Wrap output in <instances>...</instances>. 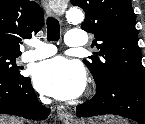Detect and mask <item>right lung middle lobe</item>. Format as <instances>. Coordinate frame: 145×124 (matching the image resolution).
<instances>
[{
    "label": "right lung middle lobe",
    "mask_w": 145,
    "mask_h": 124,
    "mask_svg": "<svg viewBox=\"0 0 145 124\" xmlns=\"http://www.w3.org/2000/svg\"><path fill=\"white\" fill-rule=\"evenodd\" d=\"M18 56L0 51V73H5L13 77H21L20 67L16 65V58Z\"/></svg>",
    "instance_id": "right-lung-middle-lobe-1"
}]
</instances>
